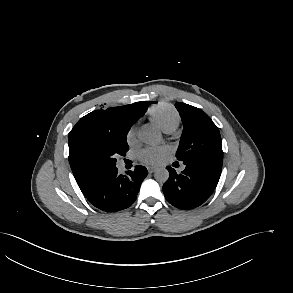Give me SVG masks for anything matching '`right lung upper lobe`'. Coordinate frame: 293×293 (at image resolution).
I'll return each mask as SVG.
<instances>
[{
  "mask_svg": "<svg viewBox=\"0 0 293 293\" xmlns=\"http://www.w3.org/2000/svg\"><path fill=\"white\" fill-rule=\"evenodd\" d=\"M151 102L142 101L107 110L93 111L73 127L68 134L69 163L75 180L83 195H88L98 184L100 179L113 167L99 165L90 161L84 153L85 138L90 133H119L130 119L142 117Z\"/></svg>",
  "mask_w": 293,
  "mask_h": 293,
  "instance_id": "obj_1",
  "label": "right lung upper lobe"
}]
</instances>
